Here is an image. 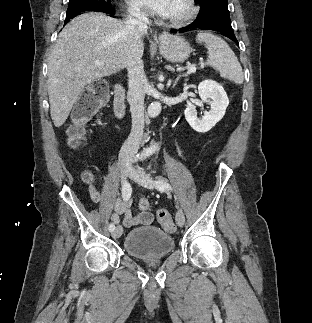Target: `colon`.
Listing matches in <instances>:
<instances>
[{"mask_svg": "<svg viewBox=\"0 0 312 323\" xmlns=\"http://www.w3.org/2000/svg\"><path fill=\"white\" fill-rule=\"evenodd\" d=\"M108 99V85L105 78L93 80L89 87L82 92L81 105H85L83 112H77L74 115V123L68 131V142L70 146H79L85 140V125L88 122V116L91 115L96 108ZM139 208L148 210L150 203L147 199H140ZM157 219L162 229L167 233H174L176 226L166 211H159Z\"/></svg>", "mask_w": 312, "mask_h": 323, "instance_id": "obj_1", "label": "colon"}]
</instances>
